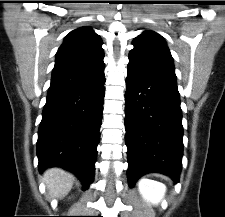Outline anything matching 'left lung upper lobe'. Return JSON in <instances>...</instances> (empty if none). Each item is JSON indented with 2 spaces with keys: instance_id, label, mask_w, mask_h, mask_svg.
I'll return each instance as SVG.
<instances>
[{
  "instance_id": "obj_1",
  "label": "left lung upper lobe",
  "mask_w": 225,
  "mask_h": 217,
  "mask_svg": "<svg viewBox=\"0 0 225 217\" xmlns=\"http://www.w3.org/2000/svg\"><path fill=\"white\" fill-rule=\"evenodd\" d=\"M133 45L128 68L144 73H159L176 80L173 58L161 35L144 31L133 40Z\"/></svg>"
}]
</instances>
